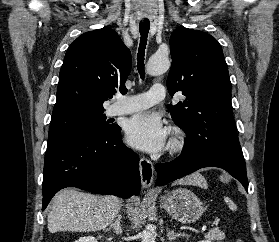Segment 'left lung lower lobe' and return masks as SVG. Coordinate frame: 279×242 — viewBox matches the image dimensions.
Returning <instances> with one entry per match:
<instances>
[{
  "label": "left lung lower lobe",
  "mask_w": 279,
  "mask_h": 242,
  "mask_svg": "<svg viewBox=\"0 0 279 242\" xmlns=\"http://www.w3.org/2000/svg\"><path fill=\"white\" fill-rule=\"evenodd\" d=\"M219 167L228 171L248 191V180L244 158L223 153L181 154L175 160L158 163L156 186H162L188 175L200 168Z\"/></svg>",
  "instance_id": "1"
}]
</instances>
